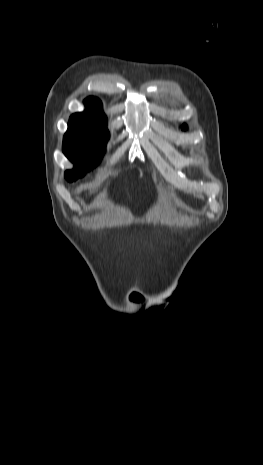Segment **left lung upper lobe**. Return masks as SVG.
Masks as SVG:
<instances>
[{
  "label": "left lung upper lobe",
  "instance_id": "obj_1",
  "mask_svg": "<svg viewBox=\"0 0 263 465\" xmlns=\"http://www.w3.org/2000/svg\"><path fill=\"white\" fill-rule=\"evenodd\" d=\"M182 129H186V125H183V126H182Z\"/></svg>",
  "mask_w": 263,
  "mask_h": 465
}]
</instances>
